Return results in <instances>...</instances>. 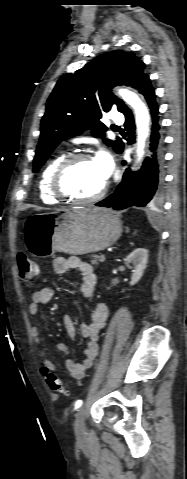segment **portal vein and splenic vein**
I'll use <instances>...</instances> for the list:
<instances>
[{
  "instance_id": "obj_1",
  "label": "portal vein and splenic vein",
  "mask_w": 187,
  "mask_h": 479,
  "mask_svg": "<svg viewBox=\"0 0 187 479\" xmlns=\"http://www.w3.org/2000/svg\"><path fill=\"white\" fill-rule=\"evenodd\" d=\"M108 251H110V250H108ZM101 258H102V259H105V255H101Z\"/></svg>"
}]
</instances>
